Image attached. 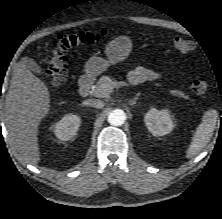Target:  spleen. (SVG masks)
Returning <instances> with one entry per match:
<instances>
[{
	"mask_svg": "<svg viewBox=\"0 0 222 219\" xmlns=\"http://www.w3.org/2000/svg\"><path fill=\"white\" fill-rule=\"evenodd\" d=\"M218 112L214 109L206 111L201 124L197 127L192 142L186 151V157L195 156L210 141L216 127Z\"/></svg>",
	"mask_w": 222,
	"mask_h": 219,
	"instance_id": "obj_1",
	"label": "spleen"
}]
</instances>
